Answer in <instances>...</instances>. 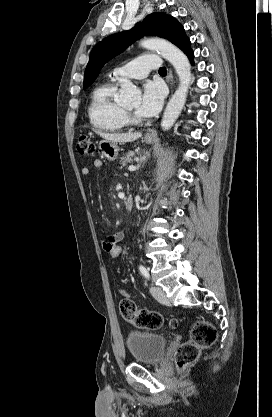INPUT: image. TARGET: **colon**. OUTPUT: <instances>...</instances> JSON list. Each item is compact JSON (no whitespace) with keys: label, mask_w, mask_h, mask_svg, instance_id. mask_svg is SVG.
Wrapping results in <instances>:
<instances>
[{"label":"colon","mask_w":272,"mask_h":417,"mask_svg":"<svg viewBox=\"0 0 272 417\" xmlns=\"http://www.w3.org/2000/svg\"><path fill=\"white\" fill-rule=\"evenodd\" d=\"M79 154L92 156L96 147L89 137L80 136L77 143ZM106 252L113 259L122 254V241L114 240L107 245ZM122 299L119 303V311L124 320L132 323L137 328L157 330L162 326V317L155 311L138 309L135 301L123 290H119ZM172 327L177 325L176 320L170 322ZM217 338V331L207 321L198 322L192 329L190 340L183 343L176 352V362L179 368L184 369L194 363L200 355L201 350L211 346Z\"/></svg>","instance_id":"colon-1"}]
</instances>
